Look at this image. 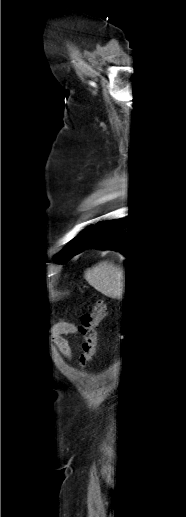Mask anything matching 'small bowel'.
I'll return each mask as SVG.
<instances>
[{"label":"small bowel","instance_id":"small-bowel-1","mask_svg":"<svg viewBox=\"0 0 186 517\" xmlns=\"http://www.w3.org/2000/svg\"><path fill=\"white\" fill-rule=\"evenodd\" d=\"M77 334V327L70 322L67 321H61L58 324L54 326L52 329V339L54 343L57 345L59 351L62 353V355L70 359L71 358V347L66 339V336L69 335H76Z\"/></svg>","mask_w":186,"mask_h":517}]
</instances>
